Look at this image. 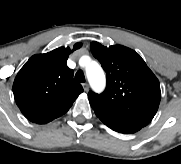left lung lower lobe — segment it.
<instances>
[{
  "mask_svg": "<svg viewBox=\"0 0 181 164\" xmlns=\"http://www.w3.org/2000/svg\"><path fill=\"white\" fill-rule=\"evenodd\" d=\"M96 115L105 125L116 132L131 134L139 131L142 128L140 125L115 117L108 113L96 112Z\"/></svg>",
  "mask_w": 181,
  "mask_h": 164,
  "instance_id": "0a47b994",
  "label": "left lung lower lobe"
}]
</instances>
